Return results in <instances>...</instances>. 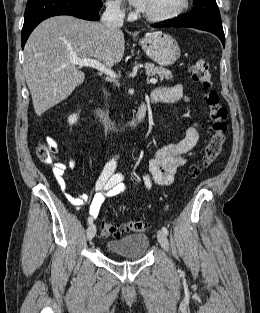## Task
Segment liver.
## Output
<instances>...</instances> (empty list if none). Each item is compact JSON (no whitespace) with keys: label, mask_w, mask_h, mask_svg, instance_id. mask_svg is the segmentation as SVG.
<instances>
[{"label":"liver","mask_w":260,"mask_h":313,"mask_svg":"<svg viewBox=\"0 0 260 313\" xmlns=\"http://www.w3.org/2000/svg\"><path fill=\"white\" fill-rule=\"evenodd\" d=\"M123 32L72 16H55L40 23L24 48L23 70L37 116L65 100L84 82L85 74L70 58H95L107 68L121 61Z\"/></svg>","instance_id":"6515ba94"}]
</instances>
